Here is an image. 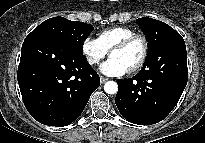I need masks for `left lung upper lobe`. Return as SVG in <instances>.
<instances>
[{
    "mask_svg": "<svg viewBox=\"0 0 205 143\" xmlns=\"http://www.w3.org/2000/svg\"><path fill=\"white\" fill-rule=\"evenodd\" d=\"M140 28L143 30L147 40H148V55L142 69H149L151 65L157 60H164L160 58V55L155 56V50L160 47L163 42L170 38L179 36L180 34L176 32L168 24L155 20L152 18L144 17L137 19ZM162 55L161 57H163Z\"/></svg>",
    "mask_w": 205,
    "mask_h": 143,
    "instance_id": "obj_1",
    "label": "left lung upper lobe"
}]
</instances>
